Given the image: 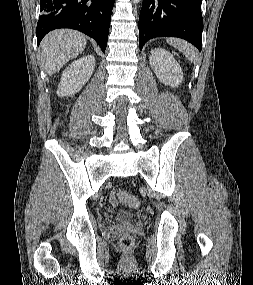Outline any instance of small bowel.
Wrapping results in <instances>:
<instances>
[{"mask_svg": "<svg viewBox=\"0 0 253 285\" xmlns=\"http://www.w3.org/2000/svg\"><path fill=\"white\" fill-rule=\"evenodd\" d=\"M110 201L113 205L117 204V200H116V197H115V194L112 193L111 197H110Z\"/></svg>", "mask_w": 253, "mask_h": 285, "instance_id": "1", "label": "small bowel"}]
</instances>
